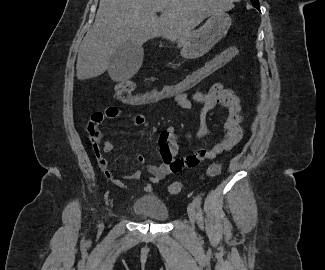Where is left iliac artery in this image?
Returning <instances> with one entry per match:
<instances>
[{"instance_id":"obj_1","label":"left iliac artery","mask_w":325,"mask_h":270,"mask_svg":"<svg viewBox=\"0 0 325 270\" xmlns=\"http://www.w3.org/2000/svg\"><path fill=\"white\" fill-rule=\"evenodd\" d=\"M194 204H195V206H196L197 208H199L200 205H201V198L198 197V196H196V197L194 198Z\"/></svg>"}]
</instances>
